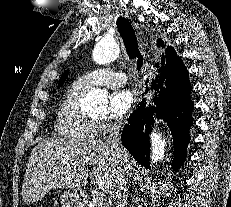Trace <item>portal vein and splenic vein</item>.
Segmentation results:
<instances>
[{
	"instance_id": "18ae733b",
	"label": "portal vein and splenic vein",
	"mask_w": 231,
	"mask_h": 207,
	"mask_svg": "<svg viewBox=\"0 0 231 207\" xmlns=\"http://www.w3.org/2000/svg\"><path fill=\"white\" fill-rule=\"evenodd\" d=\"M96 199L103 202L105 200V195L103 192L97 191L95 192Z\"/></svg>"
}]
</instances>
